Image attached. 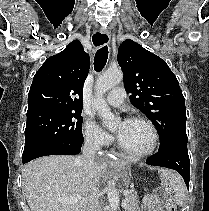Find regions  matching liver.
I'll use <instances>...</instances> for the list:
<instances>
[{
    "instance_id": "6515ba94",
    "label": "liver",
    "mask_w": 209,
    "mask_h": 211,
    "mask_svg": "<svg viewBox=\"0 0 209 211\" xmlns=\"http://www.w3.org/2000/svg\"><path fill=\"white\" fill-rule=\"evenodd\" d=\"M128 164L133 160L123 157ZM70 155L44 156L32 160L23 169L25 196L31 211H86L92 179ZM109 159L95 163V184L105 174ZM79 195L74 204L59 199Z\"/></svg>"
}]
</instances>
